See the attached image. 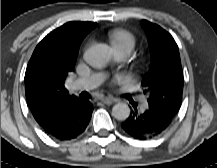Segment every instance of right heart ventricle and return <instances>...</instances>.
<instances>
[{
  "label": "right heart ventricle",
  "instance_id": "1",
  "mask_svg": "<svg viewBox=\"0 0 217 168\" xmlns=\"http://www.w3.org/2000/svg\"><path fill=\"white\" fill-rule=\"evenodd\" d=\"M109 42L111 43L112 47H120L128 54H130L134 48L133 36L121 29H114L109 33Z\"/></svg>",
  "mask_w": 217,
  "mask_h": 168
}]
</instances>
